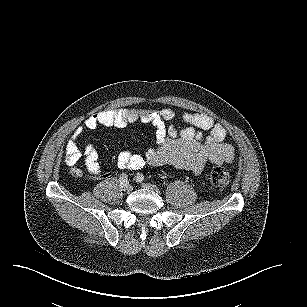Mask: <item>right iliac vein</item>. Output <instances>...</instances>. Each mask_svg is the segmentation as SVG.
<instances>
[{
	"label": "right iliac vein",
	"mask_w": 307,
	"mask_h": 307,
	"mask_svg": "<svg viewBox=\"0 0 307 307\" xmlns=\"http://www.w3.org/2000/svg\"><path fill=\"white\" fill-rule=\"evenodd\" d=\"M124 191L131 193L133 191V186L132 185H127L126 187H124Z\"/></svg>",
	"instance_id": "right-iliac-vein-1"
}]
</instances>
